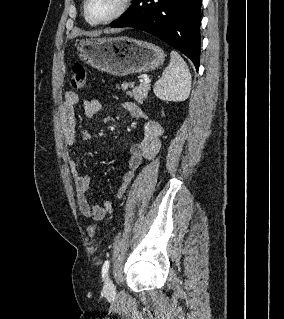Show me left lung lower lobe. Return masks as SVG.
I'll return each instance as SVG.
<instances>
[{
	"instance_id": "left-lung-lower-lobe-1",
	"label": "left lung lower lobe",
	"mask_w": 284,
	"mask_h": 319,
	"mask_svg": "<svg viewBox=\"0 0 284 319\" xmlns=\"http://www.w3.org/2000/svg\"><path fill=\"white\" fill-rule=\"evenodd\" d=\"M202 0H133L111 27H133L148 32L200 64Z\"/></svg>"
}]
</instances>
